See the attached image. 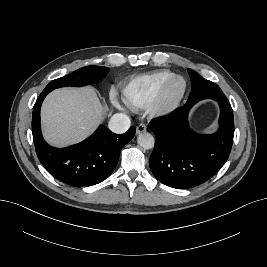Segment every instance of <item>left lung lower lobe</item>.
<instances>
[{"label": "left lung lower lobe", "mask_w": 267, "mask_h": 267, "mask_svg": "<svg viewBox=\"0 0 267 267\" xmlns=\"http://www.w3.org/2000/svg\"><path fill=\"white\" fill-rule=\"evenodd\" d=\"M213 99L221 112L219 130L200 135L188 126V113L197 102ZM155 134V147L149 165L163 184L176 189H188L213 177L227 161L234 136L233 110L225 95L213 89L190 96L181 108L149 123Z\"/></svg>", "instance_id": "0a47b994"}]
</instances>
